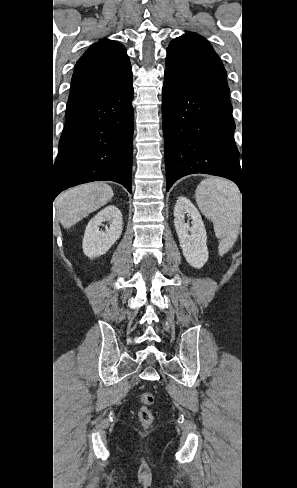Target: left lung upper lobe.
<instances>
[{
    "label": "left lung upper lobe",
    "mask_w": 297,
    "mask_h": 488,
    "mask_svg": "<svg viewBox=\"0 0 297 488\" xmlns=\"http://www.w3.org/2000/svg\"><path fill=\"white\" fill-rule=\"evenodd\" d=\"M165 72L198 92L232 108L226 70L208 41L196 33H186L167 48Z\"/></svg>",
    "instance_id": "left-lung-upper-lobe-1"
}]
</instances>
